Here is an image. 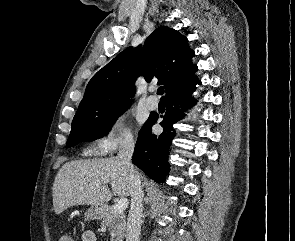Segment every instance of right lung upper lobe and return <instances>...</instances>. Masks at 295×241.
Instances as JSON below:
<instances>
[{"instance_id": "cb5924a9", "label": "right lung upper lobe", "mask_w": 295, "mask_h": 241, "mask_svg": "<svg viewBox=\"0 0 295 241\" xmlns=\"http://www.w3.org/2000/svg\"><path fill=\"white\" fill-rule=\"evenodd\" d=\"M194 55L185 36L172 28L158 27L143 47L126 48L92 77L79 107L130 101L139 75L147 82L157 79L167 96L198 80L194 77L197 66L191 61Z\"/></svg>"}]
</instances>
